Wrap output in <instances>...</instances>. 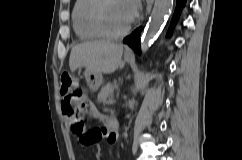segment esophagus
Returning a JSON list of instances; mask_svg holds the SVG:
<instances>
[{
  "label": "esophagus",
  "instance_id": "34e87169",
  "mask_svg": "<svg viewBox=\"0 0 242 160\" xmlns=\"http://www.w3.org/2000/svg\"><path fill=\"white\" fill-rule=\"evenodd\" d=\"M131 52L132 51L129 48L126 49V53H131Z\"/></svg>",
  "mask_w": 242,
  "mask_h": 160
}]
</instances>
